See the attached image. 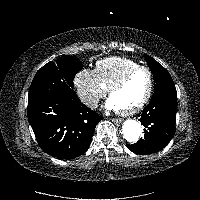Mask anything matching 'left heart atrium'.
<instances>
[{
  "label": "left heart atrium",
  "instance_id": "obj_1",
  "mask_svg": "<svg viewBox=\"0 0 200 200\" xmlns=\"http://www.w3.org/2000/svg\"><path fill=\"white\" fill-rule=\"evenodd\" d=\"M105 107L108 109V110H113V111H118L120 110L117 106V104L115 103V101L110 97L106 103H105Z\"/></svg>",
  "mask_w": 200,
  "mask_h": 200
}]
</instances>
